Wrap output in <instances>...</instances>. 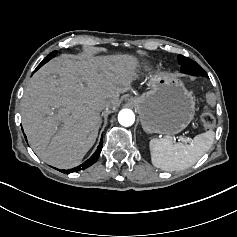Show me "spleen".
Here are the masks:
<instances>
[{"mask_svg":"<svg viewBox=\"0 0 237 237\" xmlns=\"http://www.w3.org/2000/svg\"><path fill=\"white\" fill-rule=\"evenodd\" d=\"M214 131L196 135L190 144L173 143L169 138L150 140L152 164L164 171L184 170L193 166L211 148Z\"/></svg>","mask_w":237,"mask_h":237,"instance_id":"3e777b00","label":"spleen"}]
</instances>
